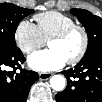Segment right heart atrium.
<instances>
[{"instance_id":"obj_1","label":"right heart atrium","mask_w":102,"mask_h":102,"mask_svg":"<svg viewBox=\"0 0 102 102\" xmlns=\"http://www.w3.org/2000/svg\"><path fill=\"white\" fill-rule=\"evenodd\" d=\"M14 40L18 48L25 54L38 49L45 43L37 26L28 19L18 22L14 31Z\"/></svg>"}]
</instances>
